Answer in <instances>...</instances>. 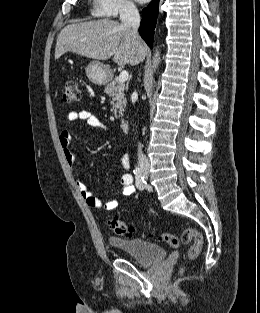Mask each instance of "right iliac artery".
Masks as SVG:
<instances>
[{"instance_id": "1", "label": "right iliac artery", "mask_w": 260, "mask_h": 313, "mask_svg": "<svg viewBox=\"0 0 260 313\" xmlns=\"http://www.w3.org/2000/svg\"><path fill=\"white\" fill-rule=\"evenodd\" d=\"M134 174L137 188L143 190L145 188L146 182L144 176L142 175L141 169L139 167H136V169L134 170Z\"/></svg>"}]
</instances>
